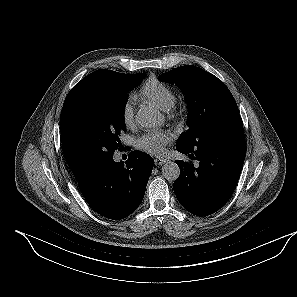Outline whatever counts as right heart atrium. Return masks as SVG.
<instances>
[{
  "label": "right heart atrium",
  "mask_w": 297,
  "mask_h": 297,
  "mask_svg": "<svg viewBox=\"0 0 297 297\" xmlns=\"http://www.w3.org/2000/svg\"><path fill=\"white\" fill-rule=\"evenodd\" d=\"M121 119L126 127L134 124V98L127 96L121 106Z\"/></svg>",
  "instance_id": "1"
}]
</instances>
